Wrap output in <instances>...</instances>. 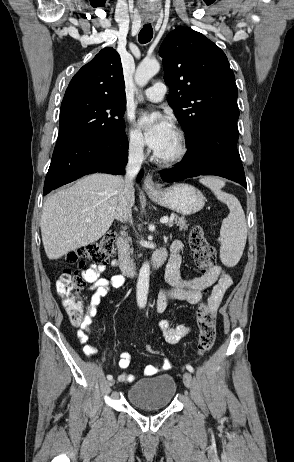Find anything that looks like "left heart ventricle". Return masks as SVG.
Returning <instances> with one entry per match:
<instances>
[{
	"label": "left heart ventricle",
	"instance_id": "1",
	"mask_svg": "<svg viewBox=\"0 0 294 462\" xmlns=\"http://www.w3.org/2000/svg\"><path fill=\"white\" fill-rule=\"evenodd\" d=\"M178 151V139L175 135L171 142L166 147L165 151L160 155L161 157H170Z\"/></svg>",
	"mask_w": 294,
	"mask_h": 462
}]
</instances>
